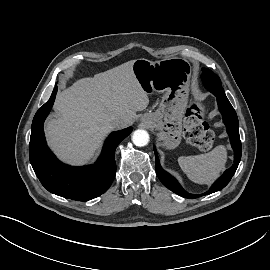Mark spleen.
<instances>
[{"instance_id": "obj_1", "label": "spleen", "mask_w": 270, "mask_h": 270, "mask_svg": "<svg viewBox=\"0 0 270 270\" xmlns=\"http://www.w3.org/2000/svg\"><path fill=\"white\" fill-rule=\"evenodd\" d=\"M227 152L224 146H217L206 154L180 156L178 163L187 177L198 184H211L225 168Z\"/></svg>"}]
</instances>
